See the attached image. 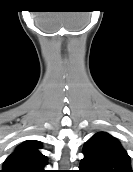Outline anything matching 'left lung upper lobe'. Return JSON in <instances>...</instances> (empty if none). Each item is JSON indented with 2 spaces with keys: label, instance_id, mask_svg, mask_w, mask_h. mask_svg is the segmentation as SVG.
<instances>
[{
  "label": "left lung upper lobe",
  "instance_id": "5c2ea615",
  "mask_svg": "<svg viewBox=\"0 0 133 172\" xmlns=\"http://www.w3.org/2000/svg\"><path fill=\"white\" fill-rule=\"evenodd\" d=\"M80 172H133L130 157L106 132L94 134L84 145Z\"/></svg>",
  "mask_w": 133,
  "mask_h": 172
}]
</instances>
